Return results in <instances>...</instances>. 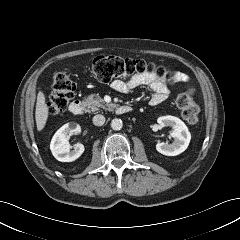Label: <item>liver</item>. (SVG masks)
<instances>
[{
	"label": "liver",
	"mask_w": 240,
	"mask_h": 240,
	"mask_svg": "<svg viewBox=\"0 0 240 240\" xmlns=\"http://www.w3.org/2000/svg\"><path fill=\"white\" fill-rule=\"evenodd\" d=\"M48 114L49 108L45 103V95L43 92H39L35 111V119L38 131L43 130V128L45 127L48 119Z\"/></svg>",
	"instance_id": "1"
}]
</instances>
